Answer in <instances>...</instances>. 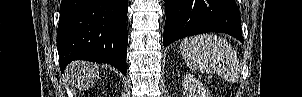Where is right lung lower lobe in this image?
Here are the masks:
<instances>
[{
  "label": "right lung lower lobe",
  "instance_id": "98d812e1",
  "mask_svg": "<svg viewBox=\"0 0 302 97\" xmlns=\"http://www.w3.org/2000/svg\"><path fill=\"white\" fill-rule=\"evenodd\" d=\"M128 0H62L57 29L60 69L73 60L107 63L126 74Z\"/></svg>",
  "mask_w": 302,
  "mask_h": 97
}]
</instances>
